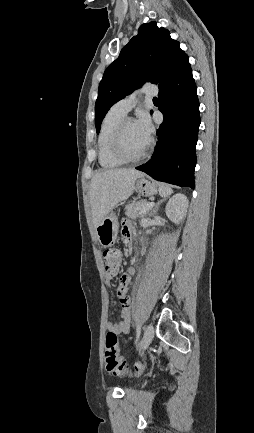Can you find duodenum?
Returning a JSON list of instances; mask_svg holds the SVG:
<instances>
[{
    "label": "duodenum",
    "mask_w": 254,
    "mask_h": 433,
    "mask_svg": "<svg viewBox=\"0 0 254 433\" xmlns=\"http://www.w3.org/2000/svg\"><path fill=\"white\" fill-rule=\"evenodd\" d=\"M128 248L129 249H133L134 248V243H133L132 238L128 240Z\"/></svg>",
    "instance_id": "obj_1"
}]
</instances>
